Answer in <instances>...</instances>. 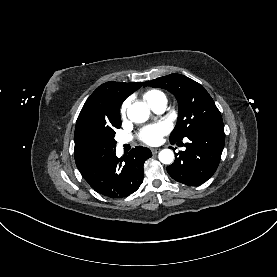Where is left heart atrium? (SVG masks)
<instances>
[{
	"label": "left heart atrium",
	"mask_w": 277,
	"mask_h": 277,
	"mask_svg": "<svg viewBox=\"0 0 277 277\" xmlns=\"http://www.w3.org/2000/svg\"><path fill=\"white\" fill-rule=\"evenodd\" d=\"M169 130L170 127L166 122H159L143 129L140 138L146 144L156 145L160 143L162 137L166 135Z\"/></svg>",
	"instance_id": "obj_1"
}]
</instances>
